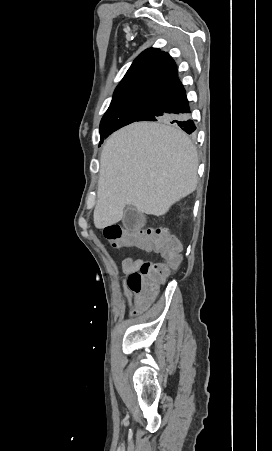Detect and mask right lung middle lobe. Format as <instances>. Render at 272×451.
Returning a JSON list of instances; mask_svg holds the SVG:
<instances>
[{"mask_svg":"<svg viewBox=\"0 0 272 451\" xmlns=\"http://www.w3.org/2000/svg\"><path fill=\"white\" fill-rule=\"evenodd\" d=\"M150 99L132 98L111 102V105L101 120V142L117 129L135 122L141 117L148 110Z\"/></svg>","mask_w":272,"mask_h":451,"instance_id":"dd1d6c3e","label":"right lung middle lobe"}]
</instances>
